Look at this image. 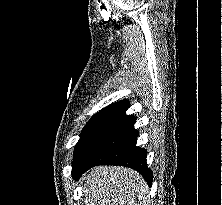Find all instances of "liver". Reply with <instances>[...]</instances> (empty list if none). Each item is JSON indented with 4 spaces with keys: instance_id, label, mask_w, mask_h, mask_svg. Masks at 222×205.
<instances>
[{
    "instance_id": "6515ba94",
    "label": "liver",
    "mask_w": 222,
    "mask_h": 205,
    "mask_svg": "<svg viewBox=\"0 0 222 205\" xmlns=\"http://www.w3.org/2000/svg\"><path fill=\"white\" fill-rule=\"evenodd\" d=\"M83 186L85 205H150L144 178L129 168L97 166Z\"/></svg>"
}]
</instances>
